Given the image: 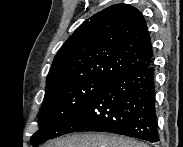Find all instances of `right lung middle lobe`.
<instances>
[{
    "label": "right lung middle lobe",
    "instance_id": "1",
    "mask_svg": "<svg viewBox=\"0 0 183 147\" xmlns=\"http://www.w3.org/2000/svg\"><path fill=\"white\" fill-rule=\"evenodd\" d=\"M107 83L100 79H81L47 87L40 110L39 130L31 138L32 146L52 139L61 125Z\"/></svg>",
    "mask_w": 183,
    "mask_h": 147
}]
</instances>
